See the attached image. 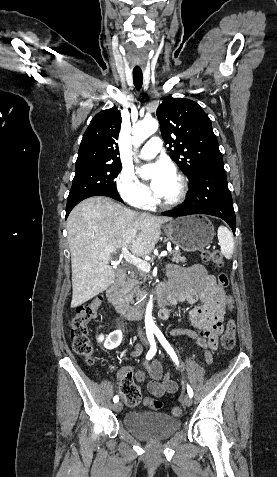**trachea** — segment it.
Wrapping results in <instances>:
<instances>
[{
  "mask_svg": "<svg viewBox=\"0 0 277 477\" xmlns=\"http://www.w3.org/2000/svg\"><path fill=\"white\" fill-rule=\"evenodd\" d=\"M133 83L137 90H140L143 84V73L141 70L133 71Z\"/></svg>",
  "mask_w": 277,
  "mask_h": 477,
  "instance_id": "3493384b",
  "label": "trachea"
}]
</instances>
